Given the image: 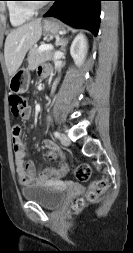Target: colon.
<instances>
[{
    "label": "colon",
    "mask_w": 133,
    "mask_h": 253,
    "mask_svg": "<svg viewBox=\"0 0 133 253\" xmlns=\"http://www.w3.org/2000/svg\"><path fill=\"white\" fill-rule=\"evenodd\" d=\"M11 113L14 117H23L27 108L25 97L19 94H13L9 97ZM73 174L79 181H87L91 176V167L88 164H79L73 169ZM109 182L105 178L97 179L89 184L85 196L75 199L71 207L74 210L82 208L86 202L97 200L107 189Z\"/></svg>",
    "instance_id": "colon-1"
}]
</instances>
